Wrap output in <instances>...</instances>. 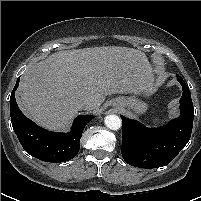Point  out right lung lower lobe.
Wrapping results in <instances>:
<instances>
[{
    "instance_id": "right-lung-lower-lobe-1",
    "label": "right lung lower lobe",
    "mask_w": 201,
    "mask_h": 201,
    "mask_svg": "<svg viewBox=\"0 0 201 201\" xmlns=\"http://www.w3.org/2000/svg\"><path fill=\"white\" fill-rule=\"evenodd\" d=\"M18 78L10 97V115L13 130L22 147L31 156L52 163L66 162L74 158L80 149V138L87 123L94 116H78L72 126L71 132L56 133L47 131L28 119L19 109L15 91L19 86Z\"/></svg>"
}]
</instances>
